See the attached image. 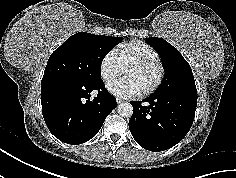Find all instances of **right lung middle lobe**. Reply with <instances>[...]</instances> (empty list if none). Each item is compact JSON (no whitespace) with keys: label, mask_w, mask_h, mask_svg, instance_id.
<instances>
[{"label":"right lung middle lobe","mask_w":236,"mask_h":178,"mask_svg":"<svg viewBox=\"0 0 236 178\" xmlns=\"http://www.w3.org/2000/svg\"><path fill=\"white\" fill-rule=\"evenodd\" d=\"M122 39L86 32L72 35L50 55L42 80L60 78L86 84L101 83V63Z\"/></svg>","instance_id":"right-lung-middle-lobe-1"}]
</instances>
